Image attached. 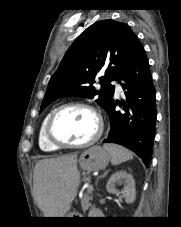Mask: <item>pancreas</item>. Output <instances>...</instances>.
<instances>
[{
  "instance_id": "obj_1",
  "label": "pancreas",
  "mask_w": 181,
  "mask_h": 227,
  "mask_svg": "<svg viewBox=\"0 0 181 227\" xmlns=\"http://www.w3.org/2000/svg\"><path fill=\"white\" fill-rule=\"evenodd\" d=\"M92 191L87 190V193L85 194L83 200L81 201V206H82V210L84 212H86L88 210V208L91 205V200H92Z\"/></svg>"
}]
</instances>
